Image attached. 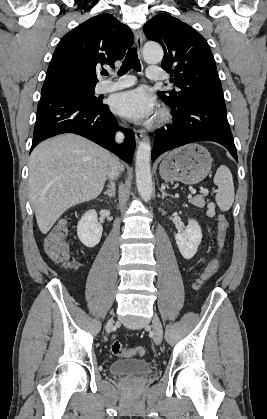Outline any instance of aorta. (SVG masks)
Wrapping results in <instances>:
<instances>
[{"instance_id": "obj_1", "label": "aorta", "mask_w": 267, "mask_h": 419, "mask_svg": "<svg viewBox=\"0 0 267 419\" xmlns=\"http://www.w3.org/2000/svg\"><path fill=\"white\" fill-rule=\"evenodd\" d=\"M144 59L148 63H159L163 59V49L155 43H146L143 50ZM151 144L146 136L139 143L136 151L135 173L138 192L143 201L152 197L153 184L151 176Z\"/></svg>"}]
</instances>
